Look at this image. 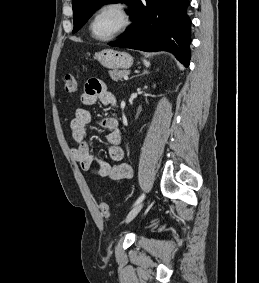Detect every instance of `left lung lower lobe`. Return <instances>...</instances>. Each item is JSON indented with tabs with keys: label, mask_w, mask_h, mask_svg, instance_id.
Segmentation results:
<instances>
[{
	"label": "left lung lower lobe",
	"mask_w": 259,
	"mask_h": 283,
	"mask_svg": "<svg viewBox=\"0 0 259 283\" xmlns=\"http://www.w3.org/2000/svg\"><path fill=\"white\" fill-rule=\"evenodd\" d=\"M189 0H135L130 12L133 24L113 47L143 51H168L186 67L190 60Z\"/></svg>",
	"instance_id": "obj_1"
}]
</instances>
